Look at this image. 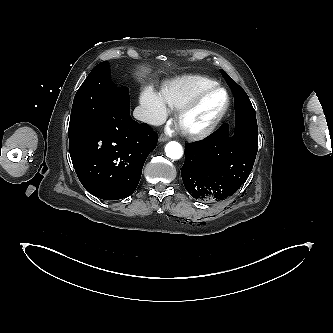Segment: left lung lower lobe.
<instances>
[{"mask_svg":"<svg viewBox=\"0 0 333 333\" xmlns=\"http://www.w3.org/2000/svg\"><path fill=\"white\" fill-rule=\"evenodd\" d=\"M236 101L238 100V96ZM255 137L235 126L228 135L222 125L205 139L188 143L181 176L192 197L204 202H218L233 195L249 176L257 154Z\"/></svg>","mask_w":333,"mask_h":333,"instance_id":"left-lung-lower-lobe-1","label":"left lung lower lobe"}]
</instances>
